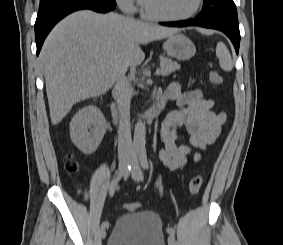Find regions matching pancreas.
<instances>
[{
	"mask_svg": "<svg viewBox=\"0 0 283 245\" xmlns=\"http://www.w3.org/2000/svg\"><path fill=\"white\" fill-rule=\"evenodd\" d=\"M160 66L163 75H169L171 72L180 69V65L167 57H160Z\"/></svg>",
	"mask_w": 283,
	"mask_h": 245,
	"instance_id": "cf45deb5",
	"label": "pancreas"
}]
</instances>
